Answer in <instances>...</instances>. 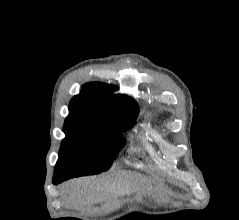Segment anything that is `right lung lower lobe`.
<instances>
[{
	"label": "right lung lower lobe",
	"mask_w": 239,
	"mask_h": 220,
	"mask_svg": "<svg viewBox=\"0 0 239 220\" xmlns=\"http://www.w3.org/2000/svg\"><path fill=\"white\" fill-rule=\"evenodd\" d=\"M53 184L57 185V184H59V182H57V181H53Z\"/></svg>",
	"instance_id": "98d812e1"
}]
</instances>
